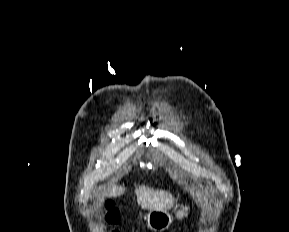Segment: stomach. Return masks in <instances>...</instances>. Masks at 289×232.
I'll return each instance as SVG.
<instances>
[{"instance_id":"1","label":"stomach","mask_w":289,"mask_h":232,"mask_svg":"<svg viewBox=\"0 0 289 232\" xmlns=\"http://www.w3.org/2000/svg\"><path fill=\"white\" fill-rule=\"evenodd\" d=\"M173 214L178 219H182L188 215V207L181 205L179 208L175 207L172 212L170 209L149 210V212L145 215L148 228L154 232H163L171 225L173 221Z\"/></svg>"}]
</instances>
